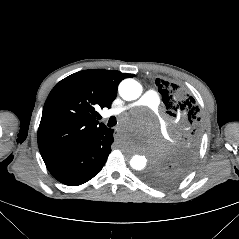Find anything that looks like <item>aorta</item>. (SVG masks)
Instances as JSON below:
<instances>
[{"instance_id":"aorta-1","label":"aorta","mask_w":239,"mask_h":239,"mask_svg":"<svg viewBox=\"0 0 239 239\" xmlns=\"http://www.w3.org/2000/svg\"><path fill=\"white\" fill-rule=\"evenodd\" d=\"M142 93V86L133 79H125L119 85L120 96L127 101L136 100ZM149 158L144 155L135 154L130 159V165L135 170H143Z\"/></svg>"}]
</instances>
